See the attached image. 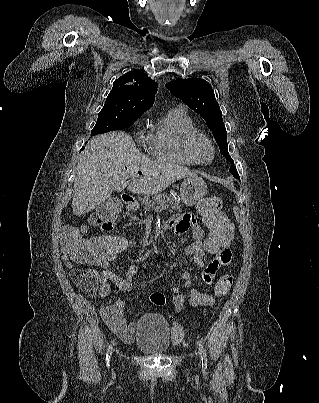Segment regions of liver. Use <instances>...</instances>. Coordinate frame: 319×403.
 <instances>
[{
	"label": "liver",
	"mask_w": 319,
	"mask_h": 403,
	"mask_svg": "<svg viewBox=\"0 0 319 403\" xmlns=\"http://www.w3.org/2000/svg\"><path fill=\"white\" fill-rule=\"evenodd\" d=\"M140 179L128 182V176ZM195 176L173 163L151 160L136 147L124 131H112L93 137L77 166L72 208L75 215L94 210L108 200L112 192L126 187L133 193L156 194L179 179Z\"/></svg>",
	"instance_id": "liver-1"
}]
</instances>
